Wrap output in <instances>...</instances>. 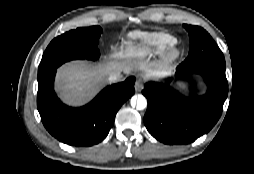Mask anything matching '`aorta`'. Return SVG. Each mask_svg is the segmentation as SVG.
<instances>
[{"instance_id": "obj_1", "label": "aorta", "mask_w": 254, "mask_h": 174, "mask_svg": "<svg viewBox=\"0 0 254 174\" xmlns=\"http://www.w3.org/2000/svg\"><path fill=\"white\" fill-rule=\"evenodd\" d=\"M132 106H136L138 110H143L147 107V99L143 95L134 96L131 99Z\"/></svg>"}]
</instances>
